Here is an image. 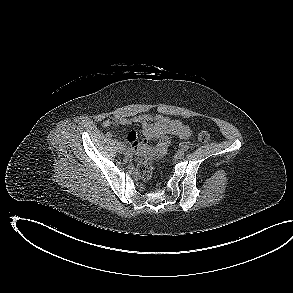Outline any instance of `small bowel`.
<instances>
[{
	"label": "small bowel",
	"mask_w": 293,
	"mask_h": 293,
	"mask_svg": "<svg viewBox=\"0 0 293 293\" xmlns=\"http://www.w3.org/2000/svg\"><path fill=\"white\" fill-rule=\"evenodd\" d=\"M132 122L141 125L145 137V140L139 141L135 131H130L127 134V142L136 150L144 148L148 141L159 139L166 133L181 139L189 138L192 135V130L188 125L163 115L141 114L133 119H107L103 122V126L106 128L119 125L128 126Z\"/></svg>",
	"instance_id": "c3829d8e"
}]
</instances>
